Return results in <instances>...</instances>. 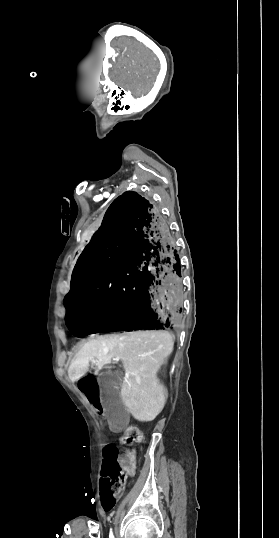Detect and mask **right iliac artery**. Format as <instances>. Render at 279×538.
<instances>
[{"label":"right iliac artery","mask_w":279,"mask_h":538,"mask_svg":"<svg viewBox=\"0 0 279 538\" xmlns=\"http://www.w3.org/2000/svg\"><path fill=\"white\" fill-rule=\"evenodd\" d=\"M109 538H114V535H113V532H112V530L110 531V535H109Z\"/></svg>","instance_id":"82829eb1"}]
</instances>
